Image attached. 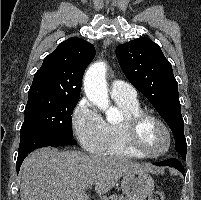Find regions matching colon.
I'll use <instances>...</instances> for the list:
<instances>
[{"label":"colon","instance_id":"obj_1","mask_svg":"<svg viewBox=\"0 0 201 200\" xmlns=\"http://www.w3.org/2000/svg\"><path fill=\"white\" fill-rule=\"evenodd\" d=\"M149 200H165V195L162 191H154L151 193Z\"/></svg>","mask_w":201,"mask_h":200}]
</instances>
